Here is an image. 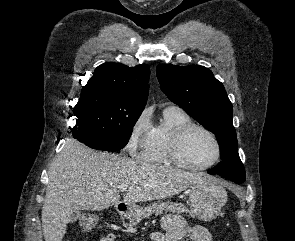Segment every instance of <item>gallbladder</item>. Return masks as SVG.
Segmentation results:
<instances>
[{"label":"gallbladder","mask_w":295,"mask_h":241,"mask_svg":"<svg viewBox=\"0 0 295 241\" xmlns=\"http://www.w3.org/2000/svg\"><path fill=\"white\" fill-rule=\"evenodd\" d=\"M80 212L79 211H74L71 216L68 219L69 223H73L74 221H76V219L79 217Z\"/></svg>","instance_id":"bac80fb5"}]
</instances>
